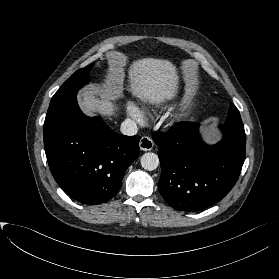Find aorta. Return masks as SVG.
<instances>
[{
	"label": "aorta",
	"mask_w": 279,
	"mask_h": 279,
	"mask_svg": "<svg viewBox=\"0 0 279 279\" xmlns=\"http://www.w3.org/2000/svg\"><path fill=\"white\" fill-rule=\"evenodd\" d=\"M140 163L145 170L153 171L159 165L158 155L152 152H147L142 155Z\"/></svg>",
	"instance_id": "1"
}]
</instances>
